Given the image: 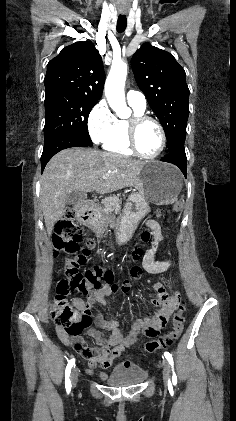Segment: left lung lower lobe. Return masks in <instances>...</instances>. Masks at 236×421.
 <instances>
[{"label": "left lung lower lobe", "instance_id": "left-lung-lower-lobe-1", "mask_svg": "<svg viewBox=\"0 0 236 421\" xmlns=\"http://www.w3.org/2000/svg\"><path fill=\"white\" fill-rule=\"evenodd\" d=\"M161 161L172 163L180 168L184 176L187 173V159L184 147H179L168 152V154L161 159Z\"/></svg>", "mask_w": 236, "mask_h": 421}]
</instances>
